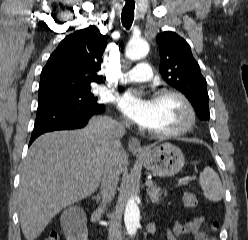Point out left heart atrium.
Returning <instances> with one entry per match:
<instances>
[{
  "label": "left heart atrium",
  "instance_id": "obj_1",
  "mask_svg": "<svg viewBox=\"0 0 248 240\" xmlns=\"http://www.w3.org/2000/svg\"><path fill=\"white\" fill-rule=\"evenodd\" d=\"M119 109L143 128H151L156 118L155 99L145 98L139 91L125 92L118 102Z\"/></svg>",
  "mask_w": 248,
  "mask_h": 240
}]
</instances>
